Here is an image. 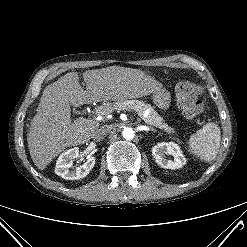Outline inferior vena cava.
<instances>
[{
  "label": "inferior vena cava",
  "instance_id": "1",
  "mask_svg": "<svg viewBox=\"0 0 247 247\" xmlns=\"http://www.w3.org/2000/svg\"><path fill=\"white\" fill-rule=\"evenodd\" d=\"M108 131H109L108 128H106L105 126H102L96 130H93L90 137L93 140L101 141L106 137Z\"/></svg>",
  "mask_w": 247,
  "mask_h": 247
}]
</instances>
